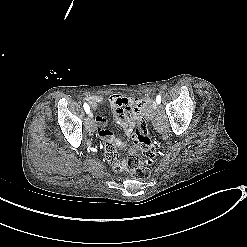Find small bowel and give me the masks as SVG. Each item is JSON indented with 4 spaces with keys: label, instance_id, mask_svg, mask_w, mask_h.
Segmentation results:
<instances>
[{
    "label": "small bowel",
    "instance_id": "c3829d8e",
    "mask_svg": "<svg viewBox=\"0 0 247 247\" xmlns=\"http://www.w3.org/2000/svg\"><path fill=\"white\" fill-rule=\"evenodd\" d=\"M107 99L113 109L115 121L120 124L124 133L128 136L133 132L135 125L133 120L123 112V106L126 112H131L133 116H138L142 108L149 105L151 102V99L149 98L127 99L119 95H111ZM85 100L90 106L95 107L98 104L104 103L106 98L104 96L98 95L86 97ZM93 122L98 126V128L95 130L96 137L109 143V145L106 146L105 151L111 169L115 172L120 171L122 168V163L118 158L115 148L120 145V138L112 131L106 129L108 123L102 115H95Z\"/></svg>",
    "mask_w": 247,
    "mask_h": 247
}]
</instances>
